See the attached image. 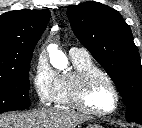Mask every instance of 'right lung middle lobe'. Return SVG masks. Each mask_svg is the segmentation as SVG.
Here are the masks:
<instances>
[{
  "label": "right lung middle lobe",
  "mask_w": 142,
  "mask_h": 128,
  "mask_svg": "<svg viewBox=\"0 0 142 128\" xmlns=\"http://www.w3.org/2000/svg\"><path fill=\"white\" fill-rule=\"evenodd\" d=\"M30 62L28 60L16 69L0 72V113L23 110L30 106Z\"/></svg>",
  "instance_id": "right-lung-middle-lobe-1"
}]
</instances>
